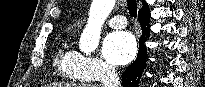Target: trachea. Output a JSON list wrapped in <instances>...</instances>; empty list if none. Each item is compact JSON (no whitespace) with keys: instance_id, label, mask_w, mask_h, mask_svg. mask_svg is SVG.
I'll return each mask as SVG.
<instances>
[{"instance_id":"1","label":"trachea","mask_w":205,"mask_h":87,"mask_svg":"<svg viewBox=\"0 0 205 87\" xmlns=\"http://www.w3.org/2000/svg\"><path fill=\"white\" fill-rule=\"evenodd\" d=\"M127 7L129 10L130 16L136 18V16H137V2H136V0H127Z\"/></svg>"}]
</instances>
